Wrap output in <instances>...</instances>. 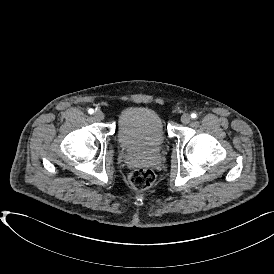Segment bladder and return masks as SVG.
Instances as JSON below:
<instances>
[{
    "label": "bladder",
    "instance_id": "1",
    "mask_svg": "<svg viewBox=\"0 0 274 274\" xmlns=\"http://www.w3.org/2000/svg\"><path fill=\"white\" fill-rule=\"evenodd\" d=\"M116 137L120 146L128 151L159 150L167 140L164 119L149 105L129 106L119 116Z\"/></svg>",
    "mask_w": 274,
    "mask_h": 274
}]
</instances>
